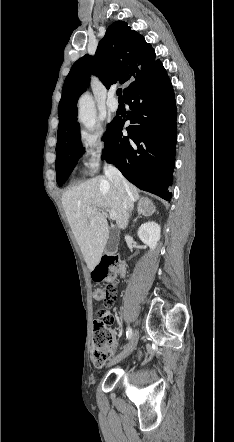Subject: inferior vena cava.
<instances>
[{"label":"inferior vena cava","instance_id":"inferior-vena-cava-1","mask_svg":"<svg viewBox=\"0 0 234 442\" xmlns=\"http://www.w3.org/2000/svg\"><path fill=\"white\" fill-rule=\"evenodd\" d=\"M104 173L123 195V206L126 210L127 215H129L134 207V199L132 194L130 193L126 179L115 166L110 164H106L104 166Z\"/></svg>","mask_w":234,"mask_h":442}]
</instances>
